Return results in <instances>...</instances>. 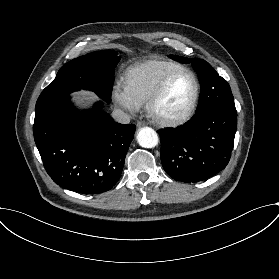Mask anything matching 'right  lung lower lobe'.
Instances as JSON below:
<instances>
[{"label": "right lung lower lobe", "mask_w": 279, "mask_h": 279, "mask_svg": "<svg viewBox=\"0 0 279 279\" xmlns=\"http://www.w3.org/2000/svg\"><path fill=\"white\" fill-rule=\"evenodd\" d=\"M102 102L77 114L64 96L36 110L33 133L43 165L62 188L86 195L110 190L120 178L135 125H122Z\"/></svg>", "instance_id": "98d812e1"}]
</instances>
